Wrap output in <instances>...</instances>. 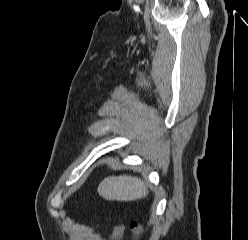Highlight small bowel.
<instances>
[{
  "label": "small bowel",
  "mask_w": 248,
  "mask_h": 240,
  "mask_svg": "<svg viewBox=\"0 0 248 240\" xmlns=\"http://www.w3.org/2000/svg\"><path fill=\"white\" fill-rule=\"evenodd\" d=\"M101 237V234H95L91 237L92 240H96ZM123 237V227L119 224L114 222L113 223V235L111 238L106 240H120Z\"/></svg>",
  "instance_id": "1"
}]
</instances>
